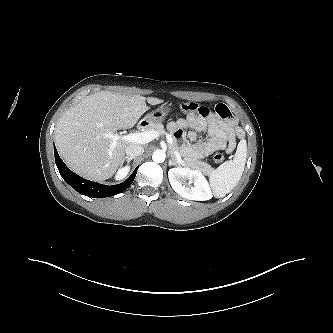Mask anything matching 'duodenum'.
Segmentation results:
<instances>
[{"mask_svg": "<svg viewBox=\"0 0 333 333\" xmlns=\"http://www.w3.org/2000/svg\"><path fill=\"white\" fill-rule=\"evenodd\" d=\"M146 126H147V122L142 121V122H140V123L137 125V128H138L139 130H141V129L145 128Z\"/></svg>", "mask_w": 333, "mask_h": 333, "instance_id": "duodenum-1", "label": "duodenum"}]
</instances>
